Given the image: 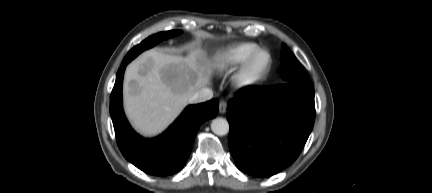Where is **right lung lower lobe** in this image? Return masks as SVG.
Instances as JSON below:
<instances>
[{"instance_id": "1", "label": "right lung lower lobe", "mask_w": 432, "mask_h": 193, "mask_svg": "<svg viewBox=\"0 0 432 193\" xmlns=\"http://www.w3.org/2000/svg\"><path fill=\"white\" fill-rule=\"evenodd\" d=\"M128 63L122 62L111 93L110 115L118 147L124 157L147 174L167 176L186 163L200 125L218 113V101L190 105L160 136L145 139L128 123L122 106V82Z\"/></svg>"}]
</instances>
